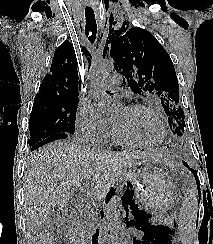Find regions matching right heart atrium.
Wrapping results in <instances>:
<instances>
[{"instance_id":"d8ad5b80","label":"right heart atrium","mask_w":213,"mask_h":244,"mask_svg":"<svg viewBox=\"0 0 213 244\" xmlns=\"http://www.w3.org/2000/svg\"><path fill=\"white\" fill-rule=\"evenodd\" d=\"M111 133L110 124L97 113L91 104H81L75 119V136L89 144L104 143Z\"/></svg>"}]
</instances>
